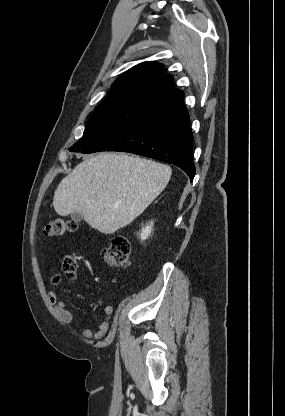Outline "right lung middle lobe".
Returning <instances> with one entry per match:
<instances>
[{"label":"right lung middle lobe","instance_id":"obj_1","mask_svg":"<svg viewBox=\"0 0 285 416\" xmlns=\"http://www.w3.org/2000/svg\"><path fill=\"white\" fill-rule=\"evenodd\" d=\"M160 109V105L133 95L104 99L70 151L87 149Z\"/></svg>","mask_w":285,"mask_h":416}]
</instances>
